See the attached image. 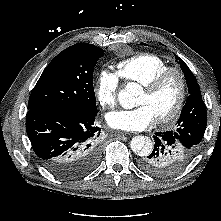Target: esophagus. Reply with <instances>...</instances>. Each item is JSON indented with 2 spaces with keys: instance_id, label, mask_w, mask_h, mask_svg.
Returning a JSON list of instances; mask_svg holds the SVG:
<instances>
[{
  "instance_id": "esophagus-1",
  "label": "esophagus",
  "mask_w": 221,
  "mask_h": 221,
  "mask_svg": "<svg viewBox=\"0 0 221 221\" xmlns=\"http://www.w3.org/2000/svg\"><path fill=\"white\" fill-rule=\"evenodd\" d=\"M126 134H128V133H126V132H122V131H115V132H113V136H117V137H120V136H124V135H126Z\"/></svg>"
}]
</instances>
